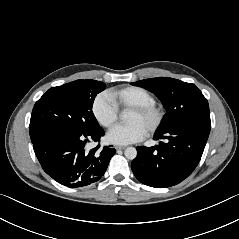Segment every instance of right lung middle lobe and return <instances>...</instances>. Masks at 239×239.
<instances>
[{
  "label": "right lung middle lobe",
  "instance_id": "1",
  "mask_svg": "<svg viewBox=\"0 0 239 239\" xmlns=\"http://www.w3.org/2000/svg\"><path fill=\"white\" fill-rule=\"evenodd\" d=\"M106 85L96 80H76L50 88L34 105L30 138L55 130L87 132L99 127L92 112L94 99Z\"/></svg>",
  "mask_w": 239,
  "mask_h": 239
}]
</instances>
